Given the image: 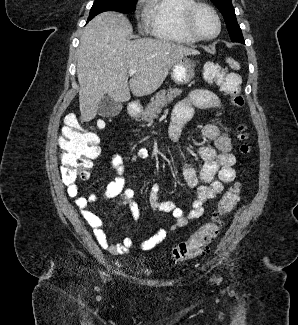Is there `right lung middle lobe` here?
Instances as JSON below:
<instances>
[{"instance_id":"dd1d6c3e","label":"right lung middle lobe","mask_w":298,"mask_h":325,"mask_svg":"<svg viewBox=\"0 0 298 325\" xmlns=\"http://www.w3.org/2000/svg\"><path fill=\"white\" fill-rule=\"evenodd\" d=\"M136 2L137 0H95L90 10L88 21L105 11L131 13L135 10Z\"/></svg>"}]
</instances>
